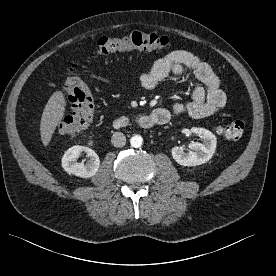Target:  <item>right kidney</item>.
Here are the masks:
<instances>
[{"label": "right kidney", "instance_id": "ca27d5eb", "mask_svg": "<svg viewBox=\"0 0 276 276\" xmlns=\"http://www.w3.org/2000/svg\"><path fill=\"white\" fill-rule=\"evenodd\" d=\"M82 151L86 152L90 159L87 163L78 162ZM100 166V159L97 153L81 145H75L69 148L62 157V167L69 174H74L82 178H89L96 174Z\"/></svg>", "mask_w": 276, "mask_h": 276}]
</instances>
